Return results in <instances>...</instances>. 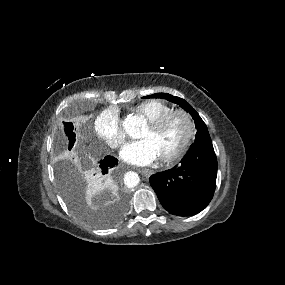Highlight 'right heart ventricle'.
<instances>
[{"mask_svg": "<svg viewBox=\"0 0 285 285\" xmlns=\"http://www.w3.org/2000/svg\"><path fill=\"white\" fill-rule=\"evenodd\" d=\"M135 110L147 120H152L172 110V107L161 100L151 99L139 103Z\"/></svg>", "mask_w": 285, "mask_h": 285, "instance_id": "1", "label": "right heart ventricle"}]
</instances>
